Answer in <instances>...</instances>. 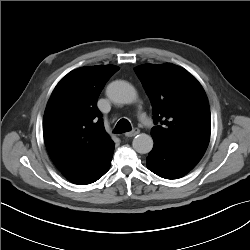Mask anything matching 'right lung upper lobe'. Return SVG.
<instances>
[{
    "label": "right lung upper lobe",
    "mask_w": 250,
    "mask_h": 250,
    "mask_svg": "<svg viewBox=\"0 0 250 250\" xmlns=\"http://www.w3.org/2000/svg\"><path fill=\"white\" fill-rule=\"evenodd\" d=\"M114 65L89 66L68 73L47 103L43 134L47 151L59 171L73 172L113 144L106 133L97 99Z\"/></svg>",
    "instance_id": "right-lung-upper-lobe-1"
}]
</instances>
